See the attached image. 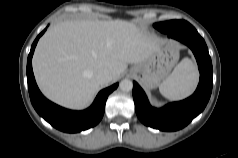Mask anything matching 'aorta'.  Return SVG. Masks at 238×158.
Wrapping results in <instances>:
<instances>
[{
	"label": "aorta",
	"mask_w": 238,
	"mask_h": 158,
	"mask_svg": "<svg viewBox=\"0 0 238 158\" xmlns=\"http://www.w3.org/2000/svg\"><path fill=\"white\" fill-rule=\"evenodd\" d=\"M120 89L124 92H129L132 90L133 88V83L131 80L129 79H124L120 82V85H119Z\"/></svg>",
	"instance_id": "762f6f07"
}]
</instances>
